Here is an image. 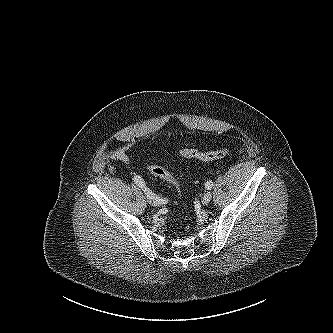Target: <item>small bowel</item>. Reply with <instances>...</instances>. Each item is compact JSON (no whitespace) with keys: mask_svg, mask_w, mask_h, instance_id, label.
Instances as JSON below:
<instances>
[{"mask_svg":"<svg viewBox=\"0 0 333 333\" xmlns=\"http://www.w3.org/2000/svg\"><path fill=\"white\" fill-rule=\"evenodd\" d=\"M133 141H126L116 149L110 152V159L113 161H120L126 164H133V161L128 155V150L133 146Z\"/></svg>","mask_w":333,"mask_h":333,"instance_id":"obj_1","label":"small bowel"}]
</instances>
